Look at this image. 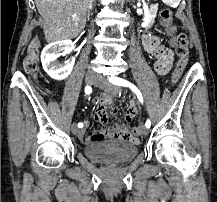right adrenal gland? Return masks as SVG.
<instances>
[{"instance_id": "obj_1", "label": "right adrenal gland", "mask_w": 217, "mask_h": 202, "mask_svg": "<svg viewBox=\"0 0 217 202\" xmlns=\"http://www.w3.org/2000/svg\"><path fill=\"white\" fill-rule=\"evenodd\" d=\"M94 2H95V0H89V4H88V8H87V18H88V20L90 18V10H92Z\"/></svg>"}]
</instances>
